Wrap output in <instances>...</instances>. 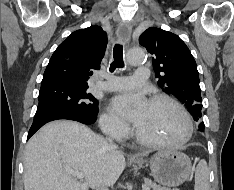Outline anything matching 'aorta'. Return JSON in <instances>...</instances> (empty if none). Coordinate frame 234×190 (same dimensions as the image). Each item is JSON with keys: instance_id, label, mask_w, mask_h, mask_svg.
I'll return each mask as SVG.
<instances>
[{"instance_id": "aorta-1", "label": "aorta", "mask_w": 234, "mask_h": 190, "mask_svg": "<svg viewBox=\"0 0 234 190\" xmlns=\"http://www.w3.org/2000/svg\"><path fill=\"white\" fill-rule=\"evenodd\" d=\"M146 59L145 50L142 48H132L127 53V62L130 65H138Z\"/></svg>"}]
</instances>
